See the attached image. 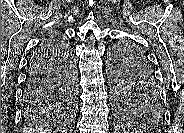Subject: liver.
<instances>
[{
  "instance_id": "6515ba94",
  "label": "liver",
  "mask_w": 184,
  "mask_h": 133,
  "mask_svg": "<svg viewBox=\"0 0 184 133\" xmlns=\"http://www.w3.org/2000/svg\"><path fill=\"white\" fill-rule=\"evenodd\" d=\"M64 129V131H68L66 128H63ZM36 133H45L46 131L48 132V131H50V130H45V129H43L42 127L41 128H38V129H35L34 130ZM48 133H50V132H48Z\"/></svg>"
}]
</instances>
